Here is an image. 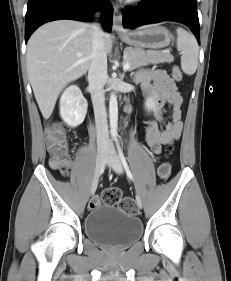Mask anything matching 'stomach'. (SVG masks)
I'll return each mask as SVG.
<instances>
[{"mask_svg":"<svg viewBox=\"0 0 231 281\" xmlns=\"http://www.w3.org/2000/svg\"><path fill=\"white\" fill-rule=\"evenodd\" d=\"M121 39L135 48L161 49L167 47L172 39L168 29L152 24L121 34Z\"/></svg>","mask_w":231,"mask_h":281,"instance_id":"0dacf381","label":"stomach"}]
</instances>
